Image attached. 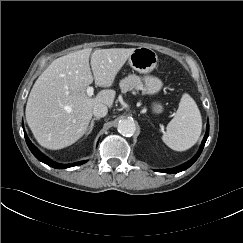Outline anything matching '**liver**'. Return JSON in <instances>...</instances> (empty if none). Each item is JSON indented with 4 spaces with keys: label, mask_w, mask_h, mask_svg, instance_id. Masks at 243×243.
Instances as JSON below:
<instances>
[{
    "label": "liver",
    "mask_w": 243,
    "mask_h": 243,
    "mask_svg": "<svg viewBox=\"0 0 243 243\" xmlns=\"http://www.w3.org/2000/svg\"><path fill=\"white\" fill-rule=\"evenodd\" d=\"M135 48L82 49L55 59L34 83L26 105V121L37 142L52 150L79 140L88 130L97 104L112 107L116 92L100 91L95 97L86 88L112 86L116 75ZM91 54V68L89 58Z\"/></svg>",
    "instance_id": "1"
}]
</instances>
